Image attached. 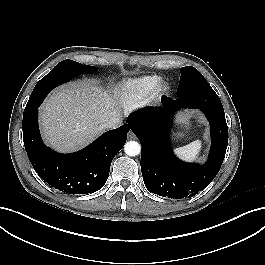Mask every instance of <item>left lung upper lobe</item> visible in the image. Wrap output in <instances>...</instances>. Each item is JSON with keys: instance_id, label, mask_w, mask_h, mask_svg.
<instances>
[{"instance_id": "left-lung-upper-lobe-1", "label": "left lung upper lobe", "mask_w": 265, "mask_h": 265, "mask_svg": "<svg viewBox=\"0 0 265 265\" xmlns=\"http://www.w3.org/2000/svg\"><path fill=\"white\" fill-rule=\"evenodd\" d=\"M211 92V97L206 98L201 94ZM178 100L189 105L206 106L217 112L224 113L221 101L203 75L194 67L181 68L180 84L178 87Z\"/></svg>"}]
</instances>
